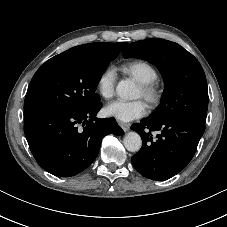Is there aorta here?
<instances>
[{"label":"aorta","mask_w":227,"mask_h":227,"mask_svg":"<svg viewBox=\"0 0 227 227\" xmlns=\"http://www.w3.org/2000/svg\"><path fill=\"white\" fill-rule=\"evenodd\" d=\"M135 92L136 87L134 83L129 80H121L117 84L116 93L122 99L134 98ZM123 144L128 151L137 152L142 146V139L138 133L131 131L125 135Z\"/></svg>","instance_id":"aorta-1"}]
</instances>
